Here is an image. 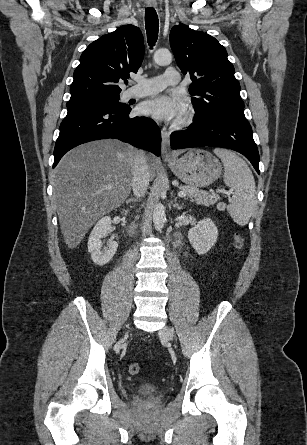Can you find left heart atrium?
Segmentation results:
<instances>
[{
  "label": "left heart atrium",
  "instance_id": "1",
  "mask_svg": "<svg viewBox=\"0 0 307 445\" xmlns=\"http://www.w3.org/2000/svg\"><path fill=\"white\" fill-rule=\"evenodd\" d=\"M141 112L158 120L180 118L185 112L183 101L169 93H159L147 99L141 106Z\"/></svg>",
  "mask_w": 307,
  "mask_h": 445
}]
</instances>
